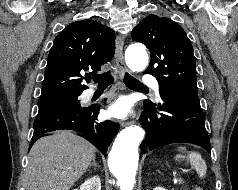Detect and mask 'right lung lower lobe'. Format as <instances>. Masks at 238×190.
Here are the masks:
<instances>
[{"label": "right lung lower lobe", "instance_id": "right-lung-lower-lobe-1", "mask_svg": "<svg viewBox=\"0 0 238 190\" xmlns=\"http://www.w3.org/2000/svg\"><path fill=\"white\" fill-rule=\"evenodd\" d=\"M98 113L99 106H94L63 109L37 115L30 147L44 133L69 129L82 133L85 139L106 156L107 148L117 134L120 125L112 121H99Z\"/></svg>", "mask_w": 238, "mask_h": 190}]
</instances>
